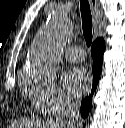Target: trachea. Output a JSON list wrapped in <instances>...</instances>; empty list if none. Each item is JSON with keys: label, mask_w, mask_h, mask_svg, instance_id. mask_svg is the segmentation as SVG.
Masks as SVG:
<instances>
[{"label": "trachea", "mask_w": 125, "mask_h": 128, "mask_svg": "<svg viewBox=\"0 0 125 128\" xmlns=\"http://www.w3.org/2000/svg\"><path fill=\"white\" fill-rule=\"evenodd\" d=\"M83 35L87 46L92 43V15L88 0H80Z\"/></svg>", "instance_id": "trachea-1"}]
</instances>
